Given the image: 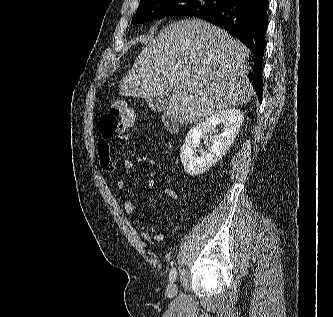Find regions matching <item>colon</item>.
<instances>
[{
	"label": "colon",
	"instance_id": "colon-1",
	"mask_svg": "<svg viewBox=\"0 0 333 317\" xmlns=\"http://www.w3.org/2000/svg\"><path fill=\"white\" fill-rule=\"evenodd\" d=\"M134 123L132 109L123 102L111 103L100 117L99 132L105 137H112L129 130Z\"/></svg>",
	"mask_w": 333,
	"mask_h": 317
}]
</instances>
